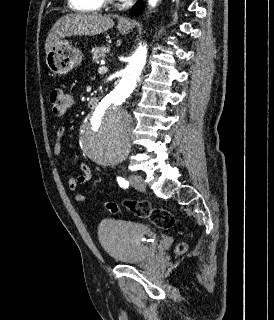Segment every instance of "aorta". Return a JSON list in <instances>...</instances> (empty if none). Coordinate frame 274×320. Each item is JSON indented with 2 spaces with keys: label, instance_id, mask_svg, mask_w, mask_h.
Instances as JSON below:
<instances>
[{
  "label": "aorta",
  "instance_id": "1",
  "mask_svg": "<svg viewBox=\"0 0 274 320\" xmlns=\"http://www.w3.org/2000/svg\"><path fill=\"white\" fill-rule=\"evenodd\" d=\"M159 0H148L156 6ZM147 47L140 44L131 56L117 86L98 104L81 129V145L85 155L96 163L123 160L131 148L132 121L124 108L145 66Z\"/></svg>",
  "mask_w": 274,
  "mask_h": 320
}]
</instances>
